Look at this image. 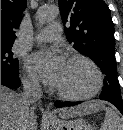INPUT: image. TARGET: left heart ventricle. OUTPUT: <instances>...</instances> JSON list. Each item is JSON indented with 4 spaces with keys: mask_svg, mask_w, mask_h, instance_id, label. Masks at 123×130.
Wrapping results in <instances>:
<instances>
[{
    "mask_svg": "<svg viewBox=\"0 0 123 130\" xmlns=\"http://www.w3.org/2000/svg\"><path fill=\"white\" fill-rule=\"evenodd\" d=\"M95 75L92 69L78 61H66L55 86L71 94H85L93 89Z\"/></svg>",
    "mask_w": 123,
    "mask_h": 130,
    "instance_id": "b2bd125f",
    "label": "left heart ventricle"
}]
</instances>
